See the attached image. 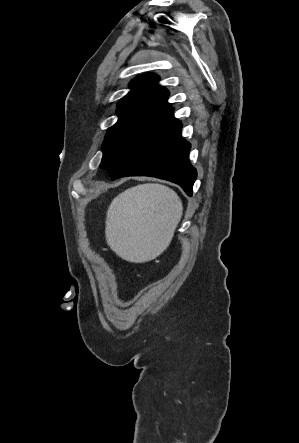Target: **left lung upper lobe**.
Masks as SVG:
<instances>
[{"label": "left lung upper lobe", "instance_id": "1", "mask_svg": "<svg viewBox=\"0 0 299 443\" xmlns=\"http://www.w3.org/2000/svg\"><path fill=\"white\" fill-rule=\"evenodd\" d=\"M157 81V75L144 74L130 83L131 91L117 105L119 119L103 142L100 168L111 169L127 150L171 109L167 103L169 92L158 85Z\"/></svg>", "mask_w": 299, "mask_h": 443}]
</instances>
